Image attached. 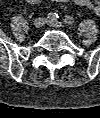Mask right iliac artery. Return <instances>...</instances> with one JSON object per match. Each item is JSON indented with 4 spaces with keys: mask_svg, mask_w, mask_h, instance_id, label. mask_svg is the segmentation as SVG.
I'll use <instances>...</instances> for the list:
<instances>
[{
    "mask_svg": "<svg viewBox=\"0 0 100 118\" xmlns=\"http://www.w3.org/2000/svg\"><path fill=\"white\" fill-rule=\"evenodd\" d=\"M47 18H48L49 20L56 21V20L59 18V16H58L57 13L51 12V13L48 14Z\"/></svg>",
    "mask_w": 100,
    "mask_h": 118,
    "instance_id": "right-iliac-artery-1",
    "label": "right iliac artery"
}]
</instances>
